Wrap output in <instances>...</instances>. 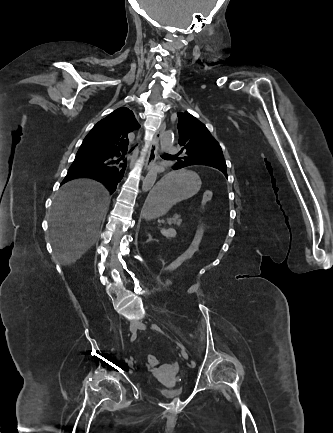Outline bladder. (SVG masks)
Masks as SVG:
<instances>
[{"label":"bladder","instance_id":"31cf9c89","mask_svg":"<svg viewBox=\"0 0 333 433\" xmlns=\"http://www.w3.org/2000/svg\"><path fill=\"white\" fill-rule=\"evenodd\" d=\"M159 396L163 399L173 400L183 396L184 391L180 387L176 388H162L158 391Z\"/></svg>","mask_w":333,"mask_h":433}]
</instances>
